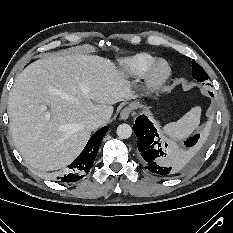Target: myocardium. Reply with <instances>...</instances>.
<instances>
[{
    "mask_svg": "<svg viewBox=\"0 0 233 233\" xmlns=\"http://www.w3.org/2000/svg\"><path fill=\"white\" fill-rule=\"evenodd\" d=\"M172 69L168 61L156 60L144 73V88L147 91L160 89L170 78Z\"/></svg>",
    "mask_w": 233,
    "mask_h": 233,
    "instance_id": "myocardium-1",
    "label": "myocardium"
}]
</instances>
